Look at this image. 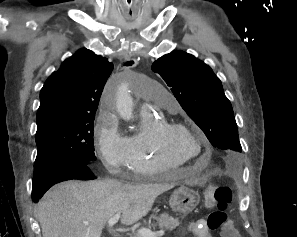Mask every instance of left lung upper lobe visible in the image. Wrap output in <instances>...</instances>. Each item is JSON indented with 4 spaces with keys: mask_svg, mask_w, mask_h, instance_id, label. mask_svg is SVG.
<instances>
[{
    "mask_svg": "<svg viewBox=\"0 0 297 237\" xmlns=\"http://www.w3.org/2000/svg\"><path fill=\"white\" fill-rule=\"evenodd\" d=\"M160 74L186 113L210 143L234 161L242 151L230 101L220 79L204 62L184 51H174L155 61Z\"/></svg>",
    "mask_w": 297,
    "mask_h": 237,
    "instance_id": "left-lung-upper-lobe-1",
    "label": "left lung upper lobe"
}]
</instances>
